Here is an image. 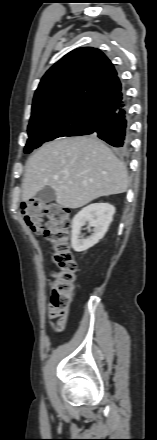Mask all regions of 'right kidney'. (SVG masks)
<instances>
[{"label": "right kidney", "instance_id": "1", "mask_svg": "<svg viewBox=\"0 0 157 440\" xmlns=\"http://www.w3.org/2000/svg\"><path fill=\"white\" fill-rule=\"evenodd\" d=\"M114 213L115 207L109 203H94L83 208L72 221V248L76 252H83L97 244L107 232ZM86 223L93 227V234L81 239V228Z\"/></svg>", "mask_w": 157, "mask_h": 440}]
</instances>
